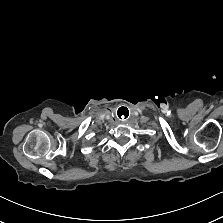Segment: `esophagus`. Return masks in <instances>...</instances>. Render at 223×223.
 I'll return each mask as SVG.
<instances>
[{"mask_svg": "<svg viewBox=\"0 0 223 223\" xmlns=\"http://www.w3.org/2000/svg\"><path fill=\"white\" fill-rule=\"evenodd\" d=\"M115 118L118 122L125 123L129 120L130 113L128 109H126L125 107H122L116 111Z\"/></svg>", "mask_w": 223, "mask_h": 223, "instance_id": "obj_1", "label": "esophagus"}]
</instances>
